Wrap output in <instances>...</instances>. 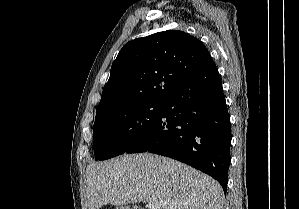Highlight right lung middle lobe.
Returning a JSON list of instances; mask_svg holds the SVG:
<instances>
[{"mask_svg":"<svg viewBox=\"0 0 299 209\" xmlns=\"http://www.w3.org/2000/svg\"><path fill=\"white\" fill-rule=\"evenodd\" d=\"M163 108L164 102H140L96 115L93 128L95 160L125 153L159 119Z\"/></svg>","mask_w":299,"mask_h":209,"instance_id":"dd1d6c3e","label":"right lung middle lobe"}]
</instances>
